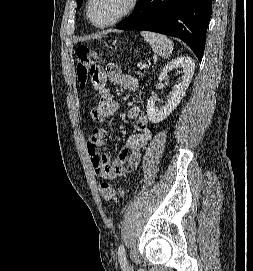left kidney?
Wrapping results in <instances>:
<instances>
[{
    "label": "left kidney",
    "mask_w": 253,
    "mask_h": 271,
    "mask_svg": "<svg viewBox=\"0 0 253 271\" xmlns=\"http://www.w3.org/2000/svg\"><path fill=\"white\" fill-rule=\"evenodd\" d=\"M173 69H182L183 75L181 79L178 80L174 89L170 92L164 105L162 107L156 106L155 96H151L147 102V116L148 119L153 123L163 121L179 105L194 75L195 63L191 57H177L165 65L159 75V81L166 80L168 78V74Z\"/></svg>",
    "instance_id": "left-kidney-1"
}]
</instances>
